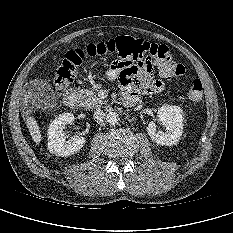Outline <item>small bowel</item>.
<instances>
[{"label":"small bowel","instance_id":"obj_1","mask_svg":"<svg viewBox=\"0 0 233 233\" xmlns=\"http://www.w3.org/2000/svg\"><path fill=\"white\" fill-rule=\"evenodd\" d=\"M161 65L156 53L138 52L133 58L120 60L106 72L109 79H118L124 96L143 93H158L163 90L161 80H154Z\"/></svg>","mask_w":233,"mask_h":233}]
</instances>
